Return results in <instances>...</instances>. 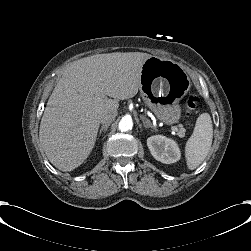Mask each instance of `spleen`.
<instances>
[{
  "instance_id": "obj_1",
  "label": "spleen",
  "mask_w": 251,
  "mask_h": 251,
  "mask_svg": "<svg viewBox=\"0 0 251 251\" xmlns=\"http://www.w3.org/2000/svg\"><path fill=\"white\" fill-rule=\"evenodd\" d=\"M213 139L212 120L208 113H202L196 120L193 134L185 146L187 167L196 169L207 157Z\"/></svg>"
}]
</instances>
